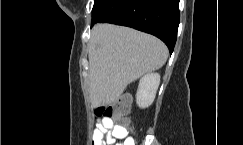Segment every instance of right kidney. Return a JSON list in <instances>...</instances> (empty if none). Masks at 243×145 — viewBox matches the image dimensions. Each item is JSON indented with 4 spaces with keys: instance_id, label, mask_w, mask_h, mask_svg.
Masks as SVG:
<instances>
[{
    "instance_id": "1",
    "label": "right kidney",
    "mask_w": 243,
    "mask_h": 145,
    "mask_svg": "<svg viewBox=\"0 0 243 145\" xmlns=\"http://www.w3.org/2000/svg\"><path fill=\"white\" fill-rule=\"evenodd\" d=\"M159 84L158 73H148L140 79L136 94V103L140 108H147L153 103Z\"/></svg>"
}]
</instances>
